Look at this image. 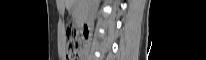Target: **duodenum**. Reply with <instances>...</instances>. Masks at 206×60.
Segmentation results:
<instances>
[{
  "instance_id": "obj_1",
  "label": "duodenum",
  "mask_w": 206,
  "mask_h": 60,
  "mask_svg": "<svg viewBox=\"0 0 206 60\" xmlns=\"http://www.w3.org/2000/svg\"><path fill=\"white\" fill-rule=\"evenodd\" d=\"M89 29H90V23H89V22H85V23L82 25L83 33H84L85 35H88V34H89Z\"/></svg>"
}]
</instances>
